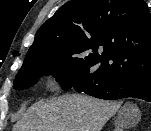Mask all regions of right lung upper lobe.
Segmentation results:
<instances>
[{"label": "right lung upper lobe", "mask_w": 151, "mask_h": 131, "mask_svg": "<svg viewBox=\"0 0 151 131\" xmlns=\"http://www.w3.org/2000/svg\"><path fill=\"white\" fill-rule=\"evenodd\" d=\"M84 50L105 78L151 76V14L144 0H71L37 31L32 46ZM31 46V47H32Z\"/></svg>", "instance_id": "cb5924a9"}]
</instances>
